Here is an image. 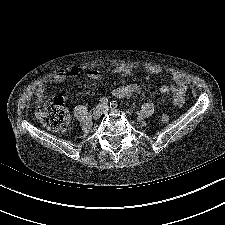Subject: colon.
<instances>
[{
  "mask_svg": "<svg viewBox=\"0 0 225 225\" xmlns=\"http://www.w3.org/2000/svg\"><path fill=\"white\" fill-rule=\"evenodd\" d=\"M39 117L44 126L54 131L64 132L70 124L68 111L61 99H57L42 108L39 111ZM168 121L169 115L162 114L161 122L166 123Z\"/></svg>",
  "mask_w": 225,
  "mask_h": 225,
  "instance_id": "obj_1",
  "label": "colon"
}]
</instances>
